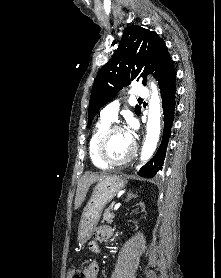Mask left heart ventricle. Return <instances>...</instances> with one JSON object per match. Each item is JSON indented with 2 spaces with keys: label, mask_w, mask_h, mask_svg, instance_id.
<instances>
[{
  "label": "left heart ventricle",
  "mask_w": 221,
  "mask_h": 278,
  "mask_svg": "<svg viewBox=\"0 0 221 278\" xmlns=\"http://www.w3.org/2000/svg\"><path fill=\"white\" fill-rule=\"evenodd\" d=\"M132 149V140L128 133L115 131L108 139L106 156L112 161H120L127 157Z\"/></svg>",
  "instance_id": "b2bd125f"
}]
</instances>
